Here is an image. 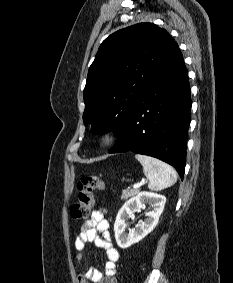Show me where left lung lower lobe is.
I'll list each match as a JSON object with an SVG mask.
<instances>
[{
    "label": "left lung lower lobe",
    "mask_w": 233,
    "mask_h": 283,
    "mask_svg": "<svg viewBox=\"0 0 233 283\" xmlns=\"http://www.w3.org/2000/svg\"><path fill=\"white\" fill-rule=\"evenodd\" d=\"M188 71L177 45L146 82L140 100L110 153L133 151L158 158L183 179L190 124Z\"/></svg>",
    "instance_id": "left-lung-lower-lobe-1"
}]
</instances>
